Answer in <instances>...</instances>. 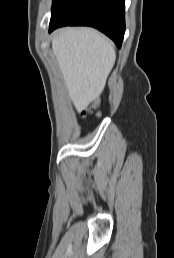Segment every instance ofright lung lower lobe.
Here are the masks:
<instances>
[{
	"instance_id": "1",
	"label": "right lung lower lobe",
	"mask_w": 174,
	"mask_h": 258,
	"mask_svg": "<svg viewBox=\"0 0 174 258\" xmlns=\"http://www.w3.org/2000/svg\"><path fill=\"white\" fill-rule=\"evenodd\" d=\"M67 25L97 28L120 48L125 33V0H67L51 16L49 31Z\"/></svg>"
}]
</instances>
